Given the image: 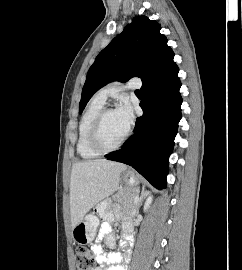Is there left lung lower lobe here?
Instances as JSON below:
<instances>
[{"mask_svg":"<svg viewBox=\"0 0 242 270\" xmlns=\"http://www.w3.org/2000/svg\"><path fill=\"white\" fill-rule=\"evenodd\" d=\"M178 67L171 59L142 80L143 116L125 147L105 155L108 160L132 166L157 189L166 188L168 159L181 119L182 98Z\"/></svg>","mask_w":242,"mask_h":270,"instance_id":"1","label":"left lung lower lobe"}]
</instances>
